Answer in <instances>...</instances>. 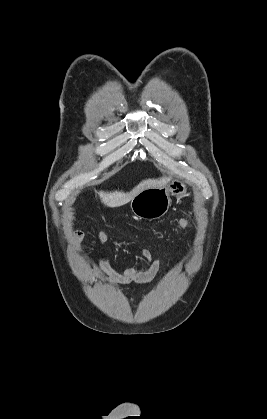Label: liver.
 <instances>
[{
    "mask_svg": "<svg viewBox=\"0 0 267 419\" xmlns=\"http://www.w3.org/2000/svg\"><path fill=\"white\" fill-rule=\"evenodd\" d=\"M167 182V178H159V179H146L141 181L136 187H134L130 192L124 193L122 191H114V192H99V196L101 198V202L107 206L116 207L121 206L129 201L132 200L138 193L141 191L159 187L164 185Z\"/></svg>",
    "mask_w": 267,
    "mask_h": 419,
    "instance_id": "obj_1",
    "label": "liver"
}]
</instances>
